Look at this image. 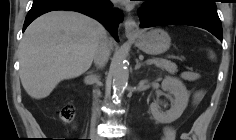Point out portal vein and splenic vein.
<instances>
[{
    "mask_svg": "<svg viewBox=\"0 0 236 140\" xmlns=\"http://www.w3.org/2000/svg\"><path fill=\"white\" fill-rule=\"evenodd\" d=\"M157 61V59H149L146 61L147 64H152L155 63Z\"/></svg>",
    "mask_w": 236,
    "mask_h": 140,
    "instance_id": "18ae733b",
    "label": "portal vein and splenic vein"
}]
</instances>
